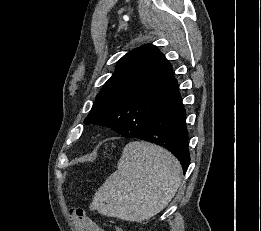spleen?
I'll return each mask as SVG.
<instances>
[{
    "instance_id": "1",
    "label": "spleen",
    "mask_w": 261,
    "mask_h": 231,
    "mask_svg": "<svg viewBox=\"0 0 261 231\" xmlns=\"http://www.w3.org/2000/svg\"><path fill=\"white\" fill-rule=\"evenodd\" d=\"M180 172V163L167 150L147 142H130L117 171L96 191L90 208L131 222L149 219L175 196Z\"/></svg>"
}]
</instances>
